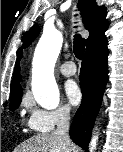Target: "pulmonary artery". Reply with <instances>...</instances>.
<instances>
[{
  "mask_svg": "<svg viewBox=\"0 0 123 152\" xmlns=\"http://www.w3.org/2000/svg\"><path fill=\"white\" fill-rule=\"evenodd\" d=\"M60 72L64 76H72L76 73V66L71 61L65 62L60 66Z\"/></svg>",
  "mask_w": 123,
  "mask_h": 152,
  "instance_id": "1",
  "label": "pulmonary artery"
}]
</instances>
